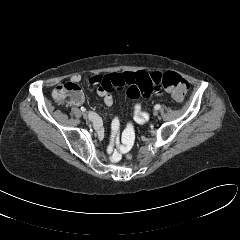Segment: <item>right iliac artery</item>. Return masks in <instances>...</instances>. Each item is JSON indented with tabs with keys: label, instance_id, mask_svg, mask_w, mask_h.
<instances>
[{
	"label": "right iliac artery",
	"instance_id": "1",
	"mask_svg": "<svg viewBox=\"0 0 240 240\" xmlns=\"http://www.w3.org/2000/svg\"><path fill=\"white\" fill-rule=\"evenodd\" d=\"M81 111H82V112H85L86 109H85L84 107H81Z\"/></svg>",
	"mask_w": 240,
	"mask_h": 240
}]
</instances>
